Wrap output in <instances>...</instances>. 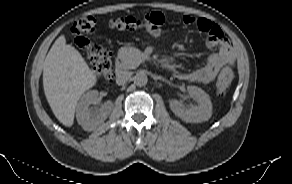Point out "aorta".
<instances>
[{"label":"aorta","instance_id":"aorta-1","mask_svg":"<svg viewBox=\"0 0 292 184\" xmlns=\"http://www.w3.org/2000/svg\"><path fill=\"white\" fill-rule=\"evenodd\" d=\"M133 81L137 86H140V87L145 86L148 82V77L143 71H140L136 73V75L133 78Z\"/></svg>","mask_w":292,"mask_h":184}]
</instances>
